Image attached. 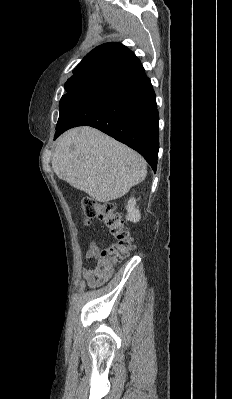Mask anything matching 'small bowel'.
Masks as SVG:
<instances>
[{"mask_svg": "<svg viewBox=\"0 0 232 399\" xmlns=\"http://www.w3.org/2000/svg\"><path fill=\"white\" fill-rule=\"evenodd\" d=\"M95 244L93 242L89 243L88 250L86 253V258L88 260V264L82 268V277L87 282V288L91 291L94 287V280H95V272L91 266V261L96 255Z\"/></svg>", "mask_w": 232, "mask_h": 399, "instance_id": "small-bowel-1", "label": "small bowel"}]
</instances>
